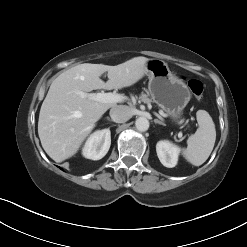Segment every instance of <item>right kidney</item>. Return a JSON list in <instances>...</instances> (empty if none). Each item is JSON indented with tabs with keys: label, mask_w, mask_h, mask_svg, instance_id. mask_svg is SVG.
Masks as SVG:
<instances>
[{
	"label": "right kidney",
	"mask_w": 247,
	"mask_h": 247,
	"mask_svg": "<svg viewBox=\"0 0 247 247\" xmlns=\"http://www.w3.org/2000/svg\"><path fill=\"white\" fill-rule=\"evenodd\" d=\"M111 145V132L109 129L97 130L87 139L82 154L87 159H102Z\"/></svg>",
	"instance_id": "ca27d5eb"
}]
</instances>
